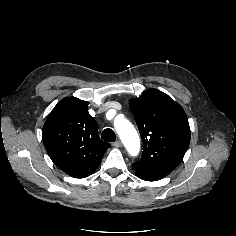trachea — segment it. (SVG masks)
<instances>
[{"label":"trachea","mask_w":236,"mask_h":236,"mask_svg":"<svg viewBox=\"0 0 236 236\" xmlns=\"http://www.w3.org/2000/svg\"><path fill=\"white\" fill-rule=\"evenodd\" d=\"M101 138L104 141H107V142H114V141H116L115 132L112 129H109V128L103 130V132L101 134Z\"/></svg>","instance_id":"obj_1"}]
</instances>
